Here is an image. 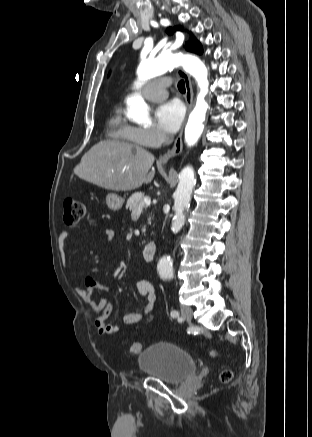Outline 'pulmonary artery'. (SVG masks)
I'll return each instance as SVG.
<instances>
[{
    "label": "pulmonary artery",
    "mask_w": 312,
    "mask_h": 437,
    "mask_svg": "<svg viewBox=\"0 0 312 437\" xmlns=\"http://www.w3.org/2000/svg\"><path fill=\"white\" fill-rule=\"evenodd\" d=\"M170 81L166 77L158 78L147 82L142 90V95L150 101H160L167 97V87Z\"/></svg>",
    "instance_id": "e3ab8cb5"
}]
</instances>
